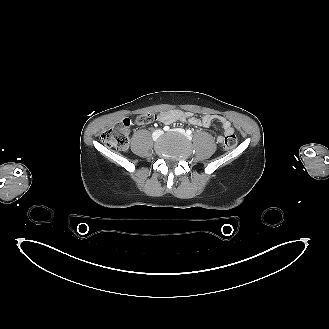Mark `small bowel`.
<instances>
[{"label": "small bowel", "mask_w": 329, "mask_h": 329, "mask_svg": "<svg viewBox=\"0 0 329 329\" xmlns=\"http://www.w3.org/2000/svg\"><path fill=\"white\" fill-rule=\"evenodd\" d=\"M158 120L166 125L174 122H187L194 126L208 127L213 122H218L222 126L223 134L217 136V141L222 143L226 136L234 133V128L230 121L219 115L206 114L203 116H195L193 113L181 109H173L168 111H162L158 115Z\"/></svg>", "instance_id": "small-bowel-1"}]
</instances>
